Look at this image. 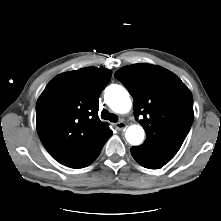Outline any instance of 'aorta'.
Returning a JSON list of instances; mask_svg holds the SVG:
<instances>
[{
	"instance_id": "1",
	"label": "aorta",
	"mask_w": 221,
	"mask_h": 221,
	"mask_svg": "<svg viewBox=\"0 0 221 221\" xmlns=\"http://www.w3.org/2000/svg\"><path fill=\"white\" fill-rule=\"evenodd\" d=\"M107 105L117 113H126L131 109L132 102L128 91L121 85H111L105 90ZM144 129L139 125L129 126L125 137L131 145H139L144 140Z\"/></svg>"
}]
</instances>
